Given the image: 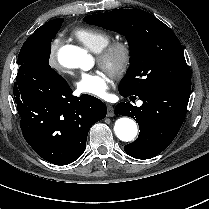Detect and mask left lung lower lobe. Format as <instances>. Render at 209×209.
Returning a JSON list of instances; mask_svg holds the SVG:
<instances>
[{"label": "left lung lower lobe", "instance_id": "1", "mask_svg": "<svg viewBox=\"0 0 209 209\" xmlns=\"http://www.w3.org/2000/svg\"><path fill=\"white\" fill-rule=\"evenodd\" d=\"M191 87L153 86L135 96L143 104L118 103V114L132 117L140 127L138 139L124 146L125 152L136 159H150L161 153L176 137L186 116ZM123 97L134 94L120 92Z\"/></svg>", "mask_w": 209, "mask_h": 209}]
</instances>
